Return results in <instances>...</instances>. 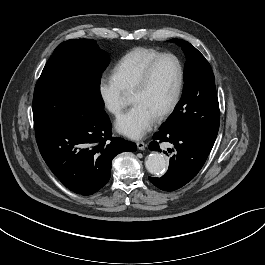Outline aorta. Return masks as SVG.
Returning <instances> with one entry per match:
<instances>
[{
  "label": "aorta",
  "instance_id": "aorta-1",
  "mask_svg": "<svg viewBox=\"0 0 265 265\" xmlns=\"http://www.w3.org/2000/svg\"><path fill=\"white\" fill-rule=\"evenodd\" d=\"M146 169L153 175H162L166 170V161L162 154L151 153L145 161Z\"/></svg>",
  "mask_w": 265,
  "mask_h": 265
}]
</instances>
